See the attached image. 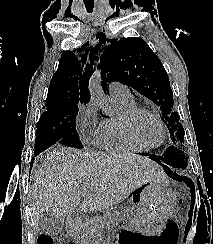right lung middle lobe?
<instances>
[{"label":"right lung middle lobe","mask_w":213,"mask_h":244,"mask_svg":"<svg viewBox=\"0 0 213 244\" xmlns=\"http://www.w3.org/2000/svg\"><path fill=\"white\" fill-rule=\"evenodd\" d=\"M46 107L37 123L34 152H42L56 142L82 148L76 133L78 104H46Z\"/></svg>","instance_id":"obj_1"}]
</instances>
